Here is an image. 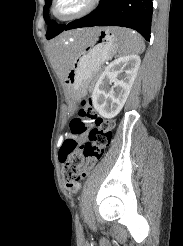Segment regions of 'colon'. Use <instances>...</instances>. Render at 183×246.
<instances>
[{"label":"colon","mask_w":183,"mask_h":246,"mask_svg":"<svg viewBox=\"0 0 183 246\" xmlns=\"http://www.w3.org/2000/svg\"><path fill=\"white\" fill-rule=\"evenodd\" d=\"M112 128V121L99 117L88 99L81 101L78 114L71 123V130L78 135L87 133L88 139L79 143L68 138L59 152V159L63 163L62 180L67 191L76 193L79 182L88 176L102 158L110 143Z\"/></svg>","instance_id":"5ec220e1"}]
</instances>
